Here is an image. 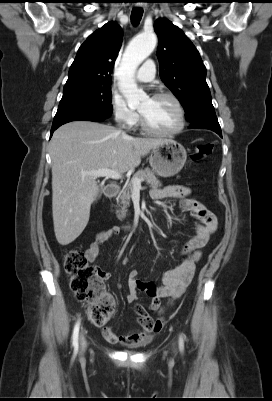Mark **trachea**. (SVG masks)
I'll use <instances>...</instances> for the list:
<instances>
[{"instance_id":"3493384b","label":"trachea","mask_w":272,"mask_h":401,"mask_svg":"<svg viewBox=\"0 0 272 401\" xmlns=\"http://www.w3.org/2000/svg\"><path fill=\"white\" fill-rule=\"evenodd\" d=\"M143 9L139 7H135L131 12V22L134 26H137L142 18Z\"/></svg>"}]
</instances>
